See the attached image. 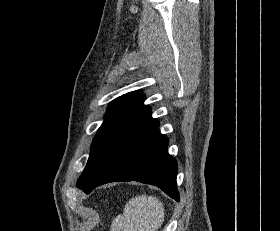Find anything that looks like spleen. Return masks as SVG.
<instances>
[{"label":"spleen","instance_id":"obj_1","mask_svg":"<svg viewBox=\"0 0 280 231\" xmlns=\"http://www.w3.org/2000/svg\"><path fill=\"white\" fill-rule=\"evenodd\" d=\"M164 221V205L154 195H135L112 221L111 231H157Z\"/></svg>","mask_w":280,"mask_h":231}]
</instances>
